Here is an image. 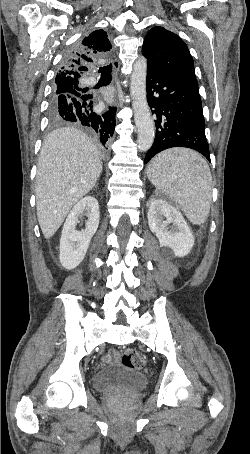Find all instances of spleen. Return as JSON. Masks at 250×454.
<instances>
[{"label": "spleen", "instance_id": "1", "mask_svg": "<svg viewBox=\"0 0 250 454\" xmlns=\"http://www.w3.org/2000/svg\"><path fill=\"white\" fill-rule=\"evenodd\" d=\"M150 182L172 198L193 224L209 215L212 177L205 159L195 151L173 148L156 155L148 165Z\"/></svg>", "mask_w": 250, "mask_h": 454}]
</instances>
